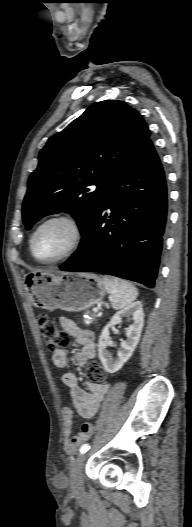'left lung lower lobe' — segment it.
<instances>
[{
  "label": "left lung lower lobe",
  "mask_w": 192,
  "mask_h": 527,
  "mask_svg": "<svg viewBox=\"0 0 192 527\" xmlns=\"http://www.w3.org/2000/svg\"><path fill=\"white\" fill-rule=\"evenodd\" d=\"M106 209L110 213L104 214ZM167 219L165 174L151 140L109 186L78 250L59 268L155 286Z\"/></svg>",
  "instance_id": "0a47b994"
}]
</instances>
